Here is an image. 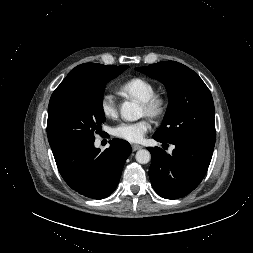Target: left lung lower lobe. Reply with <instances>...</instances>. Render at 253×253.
Returning a JSON list of instances; mask_svg holds the SVG:
<instances>
[{
  "label": "left lung lower lobe",
  "instance_id": "obj_1",
  "mask_svg": "<svg viewBox=\"0 0 253 253\" xmlns=\"http://www.w3.org/2000/svg\"><path fill=\"white\" fill-rule=\"evenodd\" d=\"M160 142H166L153 135ZM175 145L171 155L158 147L151 153L149 177L156 193L166 199H177L193 191L204 178L214 146L197 140L168 142Z\"/></svg>",
  "mask_w": 253,
  "mask_h": 253
}]
</instances>
